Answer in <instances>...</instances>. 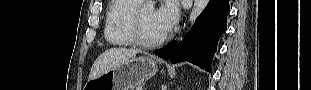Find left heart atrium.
I'll return each mask as SVG.
<instances>
[{
  "label": "left heart atrium",
  "mask_w": 311,
  "mask_h": 90,
  "mask_svg": "<svg viewBox=\"0 0 311 90\" xmlns=\"http://www.w3.org/2000/svg\"><path fill=\"white\" fill-rule=\"evenodd\" d=\"M178 19V9L173 1L167 2L155 11V21L164 33L169 32Z\"/></svg>",
  "instance_id": "obj_1"
}]
</instances>
